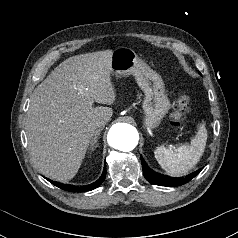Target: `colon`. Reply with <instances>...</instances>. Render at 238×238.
I'll return each instance as SVG.
<instances>
[{"label":"colon","mask_w":238,"mask_h":238,"mask_svg":"<svg viewBox=\"0 0 238 238\" xmlns=\"http://www.w3.org/2000/svg\"><path fill=\"white\" fill-rule=\"evenodd\" d=\"M191 109V100L187 95H181L173 104V111L170 117V123L173 126L180 127L184 123Z\"/></svg>","instance_id":"1"}]
</instances>
